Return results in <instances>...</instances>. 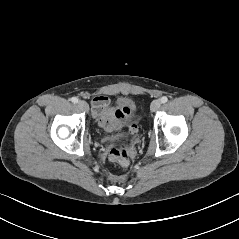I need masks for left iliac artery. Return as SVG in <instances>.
<instances>
[{
  "instance_id": "left-iliac-artery-1",
  "label": "left iliac artery",
  "mask_w": 239,
  "mask_h": 239,
  "mask_svg": "<svg viewBox=\"0 0 239 239\" xmlns=\"http://www.w3.org/2000/svg\"><path fill=\"white\" fill-rule=\"evenodd\" d=\"M161 103H166L168 101V98L166 96L161 97Z\"/></svg>"
}]
</instances>
